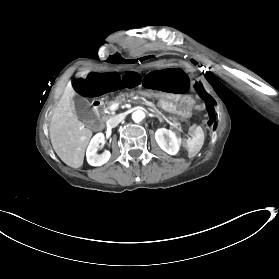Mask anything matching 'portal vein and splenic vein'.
I'll list each match as a JSON object with an SVG mask.
<instances>
[{"label":"portal vein and splenic vein","mask_w":279,"mask_h":279,"mask_svg":"<svg viewBox=\"0 0 279 279\" xmlns=\"http://www.w3.org/2000/svg\"><path fill=\"white\" fill-rule=\"evenodd\" d=\"M130 102L142 103V104H144V106L146 108L154 109L155 113L157 115H161L166 120L167 124H169L170 126H173L174 128L180 129L181 134H185V131H183V128H181V126H177L176 124H173L172 122H170V120L168 119L167 115H165L164 113H161L157 108H155V106L147 104V102L145 100H136V99H130L129 100V99H125L124 102H121L119 104H115V105L110 106V109L117 110V107H120L122 105H126L127 103H130Z\"/></svg>","instance_id":"1"}]
</instances>
